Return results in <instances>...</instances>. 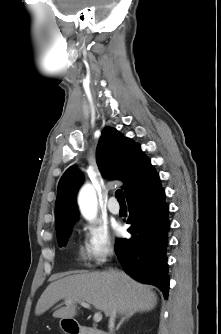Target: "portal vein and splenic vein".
<instances>
[{
    "label": "portal vein and splenic vein",
    "mask_w": 221,
    "mask_h": 334,
    "mask_svg": "<svg viewBox=\"0 0 221 334\" xmlns=\"http://www.w3.org/2000/svg\"><path fill=\"white\" fill-rule=\"evenodd\" d=\"M66 303H70V300H66ZM81 306H83L84 308H88L90 309L91 306L90 304L86 303V302H79ZM93 320L95 322H100L102 320V314L101 312H95L94 316H93Z\"/></svg>",
    "instance_id": "1"
}]
</instances>
